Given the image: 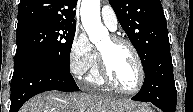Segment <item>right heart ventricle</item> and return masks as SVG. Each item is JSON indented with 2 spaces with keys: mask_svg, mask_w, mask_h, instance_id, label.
Instances as JSON below:
<instances>
[{
  "mask_svg": "<svg viewBox=\"0 0 193 112\" xmlns=\"http://www.w3.org/2000/svg\"><path fill=\"white\" fill-rule=\"evenodd\" d=\"M88 81L95 86H104V82L99 74L97 63H95L93 68L91 69L88 75Z\"/></svg>",
  "mask_w": 193,
  "mask_h": 112,
  "instance_id": "1",
  "label": "right heart ventricle"
}]
</instances>
